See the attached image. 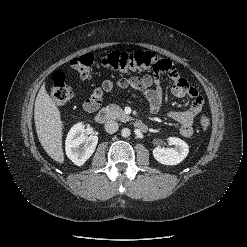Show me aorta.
<instances>
[{
	"label": "aorta",
	"mask_w": 247,
	"mask_h": 247,
	"mask_svg": "<svg viewBox=\"0 0 247 247\" xmlns=\"http://www.w3.org/2000/svg\"><path fill=\"white\" fill-rule=\"evenodd\" d=\"M130 134H131V131H130L129 128H123V129L121 130V135H122V137H124V138L129 137Z\"/></svg>",
	"instance_id": "obj_1"
}]
</instances>
